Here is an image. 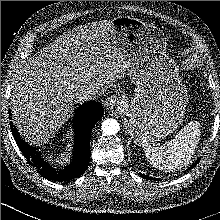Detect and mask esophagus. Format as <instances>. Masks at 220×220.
Returning a JSON list of instances; mask_svg holds the SVG:
<instances>
[{
  "label": "esophagus",
  "instance_id": "obj_1",
  "mask_svg": "<svg viewBox=\"0 0 220 220\" xmlns=\"http://www.w3.org/2000/svg\"><path fill=\"white\" fill-rule=\"evenodd\" d=\"M119 104V98L117 96H109L105 99L103 106L105 110L113 112Z\"/></svg>",
  "mask_w": 220,
  "mask_h": 220
}]
</instances>
